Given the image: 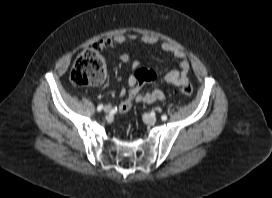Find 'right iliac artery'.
Returning a JSON list of instances; mask_svg holds the SVG:
<instances>
[{"label": "right iliac artery", "instance_id": "82829eb1", "mask_svg": "<svg viewBox=\"0 0 272 198\" xmlns=\"http://www.w3.org/2000/svg\"><path fill=\"white\" fill-rule=\"evenodd\" d=\"M102 109H103V105L100 104V105L97 107V111L100 112Z\"/></svg>", "mask_w": 272, "mask_h": 198}]
</instances>
